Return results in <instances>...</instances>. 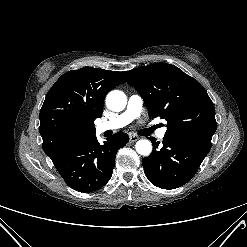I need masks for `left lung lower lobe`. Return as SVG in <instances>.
I'll return each instance as SVG.
<instances>
[{
    "label": "left lung lower lobe",
    "mask_w": 247,
    "mask_h": 247,
    "mask_svg": "<svg viewBox=\"0 0 247 247\" xmlns=\"http://www.w3.org/2000/svg\"><path fill=\"white\" fill-rule=\"evenodd\" d=\"M153 151L142 159L144 172L148 180L162 189H175L192 179L202 161L208 154L192 144L164 137L163 146L151 138Z\"/></svg>",
    "instance_id": "obj_1"
}]
</instances>
